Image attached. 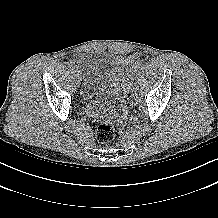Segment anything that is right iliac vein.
I'll return each mask as SVG.
<instances>
[{
	"instance_id": "right-iliac-vein-1",
	"label": "right iliac vein",
	"mask_w": 218,
	"mask_h": 218,
	"mask_svg": "<svg viewBox=\"0 0 218 218\" xmlns=\"http://www.w3.org/2000/svg\"><path fill=\"white\" fill-rule=\"evenodd\" d=\"M76 79L79 80L80 76L78 73H75Z\"/></svg>"
}]
</instances>
